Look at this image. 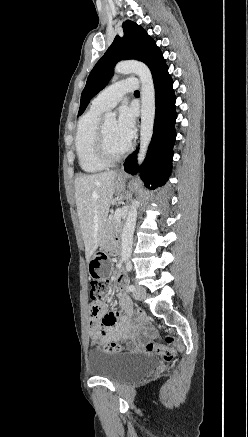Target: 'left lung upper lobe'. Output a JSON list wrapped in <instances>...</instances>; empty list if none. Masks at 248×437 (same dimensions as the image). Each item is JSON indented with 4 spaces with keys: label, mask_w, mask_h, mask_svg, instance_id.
<instances>
[{
    "label": "left lung upper lobe",
    "mask_w": 248,
    "mask_h": 437,
    "mask_svg": "<svg viewBox=\"0 0 248 437\" xmlns=\"http://www.w3.org/2000/svg\"><path fill=\"white\" fill-rule=\"evenodd\" d=\"M124 36H116L112 45L96 63L88 76L81 94L78 115H81L90 100L102 90L113 75V68L120 60L136 59L144 62L152 75L166 64L156 43L147 32L136 23L127 20L123 23Z\"/></svg>",
    "instance_id": "left-lung-upper-lobe-1"
}]
</instances>
